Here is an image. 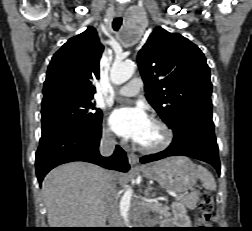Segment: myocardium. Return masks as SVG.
Listing matches in <instances>:
<instances>
[{
    "instance_id": "obj_1",
    "label": "myocardium",
    "mask_w": 252,
    "mask_h": 231,
    "mask_svg": "<svg viewBox=\"0 0 252 231\" xmlns=\"http://www.w3.org/2000/svg\"><path fill=\"white\" fill-rule=\"evenodd\" d=\"M152 122L161 129L163 133V139L159 144L154 146H146L138 143L137 144L138 149L145 153H158L165 150L171 145L174 138V133L172 129L165 121L159 118H154L152 119Z\"/></svg>"
}]
</instances>
